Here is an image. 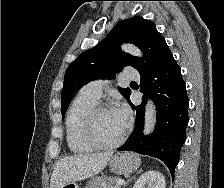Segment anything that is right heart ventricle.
Here are the masks:
<instances>
[{
  "label": "right heart ventricle",
  "instance_id": "1",
  "mask_svg": "<svg viewBox=\"0 0 224 188\" xmlns=\"http://www.w3.org/2000/svg\"><path fill=\"white\" fill-rule=\"evenodd\" d=\"M98 100L81 91L71 103L65 121L67 145L73 153L83 154L94 149L86 140L83 125L87 113Z\"/></svg>",
  "mask_w": 224,
  "mask_h": 188
}]
</instances>
